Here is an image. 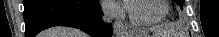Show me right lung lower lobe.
<instances>
[{
  "mask_svg": "<svg viewBox=\"0 0 219 37\" xmlns=\"http://www.w3.org/2000/svg\"><path fill=\"white\" fill-rule=\"evenodd\" d=\"M100 18L97 0H24L25 37L58 25L80 28L93 37L111 36L112 26Z\"/></svg>",
  "mask_w": 219,
  "mask_h": 37,
  "instance_id": "obj_1",
  "label": "right lung lower lobe"
}]
</instances>
